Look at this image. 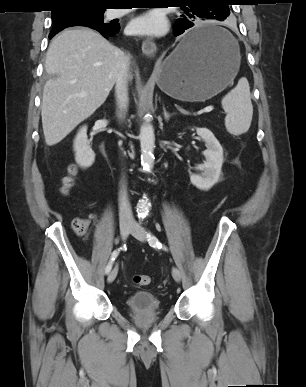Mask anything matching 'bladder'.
<instances>
[{
  "mask_svg": "<svg viewBox=\"0 0 306 387\" xmlns=\"http://www.w3.org/2000/svg\"><path fill=\"white\" fill-rule=\"evenodd\" d=\"M125 305L132 314H159L163 311L160 299L149 291H136L130 294Z\"/></svg>",
  "mask_w": 306,
  "mask_h": 387,
  "instance_id": "obj_1",
  "label": "bladder"
}]
</instances>
